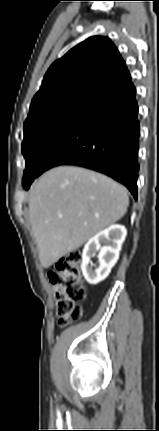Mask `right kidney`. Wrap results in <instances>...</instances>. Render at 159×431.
<instances>
[{
  "label": "right kidney",
  "mask_w": 159,
  "mask_h": 431,
  "mask_svg": "<svg viewBox=\"0 0 159 431\" xmlns=\"http://www.w3.org/2000/svg\"><path fill=\"white\" fill-rule=\"evenodd\" d=\"M126 235V228L116 224L99 232L86 243L83 249L81 269L89 284L96 285L109 275L119 258ZM96 253H98L99 266L94 269L91 258Z\"/></svg>",
  "instance_id": "ca27d5eb"
}]
</instances>
